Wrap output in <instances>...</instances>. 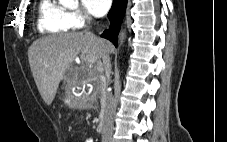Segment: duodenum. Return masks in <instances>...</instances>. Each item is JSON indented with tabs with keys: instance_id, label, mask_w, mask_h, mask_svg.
I'll return each instance as SVG.
<instances>
[{
	"instance_id": "obj_1",
	"label": "duodenum",
	"mask_w": 227,
	"mask_h": 142,
	"mask_svg": "<svg viewBox=\"0 0 227 142\" xmlns=\"http://www.w3.org/2000/svg\"><path fill=\"white\" fill-rule=\"evenodd\" d=\"M104 116H105V110L102 111L100 119H99V123L97 125V131H102L103 129V121H104Z\"/></svg>"
}]
</instances>
